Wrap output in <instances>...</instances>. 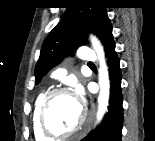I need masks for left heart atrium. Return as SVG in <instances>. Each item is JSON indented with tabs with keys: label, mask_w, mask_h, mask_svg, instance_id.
<instances>
[{
	"label": "left heart atrium",
	"mask_w": 155,
	"mask_h": 141,
	"mask_svg": "<svg viewBox=\"0 0 155 141\" xmlns=\"http://www.w3.org/2000/svg\"><path fill=\"white\" fill-rule=\"evenodd\" d=\"M72 97L77 102V104L82 107L83 96H82V90L79 87H77L75 89L74 94L72 95Z\"/></svg>",
	"instance_id": "1"
}]
</instances>
